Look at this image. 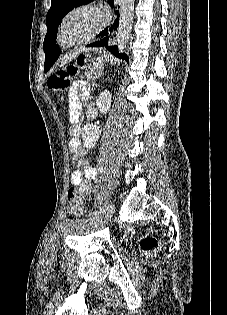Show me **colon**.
I'll return each instance as SVG.
<instances>
[{"mask_svg": "<svg viewBox=\"0 0 227 315\" xmlns=\"http://www.w3.org/2000/svg\"><path fill=\"white\" fill-rule=\"evenodd\" d=\"M84 64L85 59L78 56L72 63L58 69L47 80L49 89L63 95L69 87L71 79ZM67 207L69 212L75 216H81L85 212V197L77 186L70 187L67 192ZM140 246L146 255L153 256L161 249V242L155 237L145 236L141 239Z\"/></svg>", "mask_w": 227, "mask_h": 315, "instance_id": "obj_1", "label": "colon"}]
</instances>
